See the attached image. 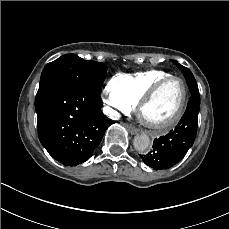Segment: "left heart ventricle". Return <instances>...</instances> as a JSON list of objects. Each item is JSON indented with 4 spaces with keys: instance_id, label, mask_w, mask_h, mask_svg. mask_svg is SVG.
<instances>
[{
    "instance_id": "left-heart-ventricle-1",
    "label": "left heart ventricle",
    "mask_w": 229,
    "mask_h": 229,
    "mask_svg": "<svg viewBox=\"0 0 229 229\" xmlns=\"http://www.w3.org/2000/svg\"><path fill=\"white\" fill-rule=\"evenodd\" d=\"M185 103L183 83L175 79L162 86L146 104L147 119L157 125L165 124L178 116Z\"/></svg>"
}]
</instances>
